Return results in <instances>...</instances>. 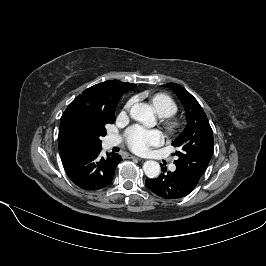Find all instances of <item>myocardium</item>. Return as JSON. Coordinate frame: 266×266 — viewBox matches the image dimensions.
<instances>
[{"mask_svg": "<svg viewBox=\"0 0 266 266\" xmlns=\"http://www.w3.org/2000/svg\"><path fill=\"white\" fill-rule=\"evenodd\" d=\"M163 123L166 130L171 134L177 133L182 127V122L176 118L165 119Z\"/></svg>", "mask_w": 266, "mask_h": 266, "instance_id": "myocardium-1", "label": "myocardium"}]
</instances>
